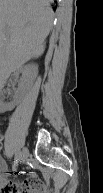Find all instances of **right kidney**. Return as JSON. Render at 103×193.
I'll list each match as a JSON object with an SVG mask.
<instances>
[{"instance_id":"right-kidney-1","label":"right kidney","mask_w":103,"mask_h":193,"mask_svg":"<svg viewBox=\"0 0 103 193\" xmlns=\"http://www.w3.org/2000/svg\"><path fill=\"white\" fill-rule=\"evenodd\" d=\"M20 71L22 72V74L24 76L29 75L31 77V80H32L33 77L38 73V66L34 65V64H29V65L22 67L20 69ZM26 86H27L26 81L24 79H22L21 82L19 83V87L24 88ZM14 107H15V104H13V103L12 104H3L1 109L3 112H5V111L12 110Z\"/></svg>"}]
</instances>
